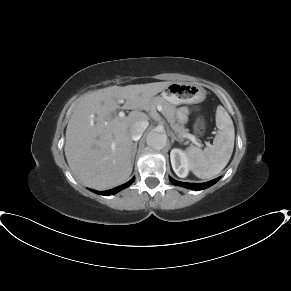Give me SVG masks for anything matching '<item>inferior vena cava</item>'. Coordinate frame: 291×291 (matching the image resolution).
I'll use <instances>...</instances> for the list:
<instances>
[{
  "mask_svg": "<svg viewBox=\"0 0 291 291\" xmlns=\"http://www.w3.org/2000/svg\"><path fill=\"white\" fill-rule=\"evenodd\" d=\"M148 124V121H138L132 124L129 128L132 140L138 141L147 128Z\"/></svg>",
  "mask_w": 291,
  "mask_h": 291,
  "instance_id": "obj_1",
  "label": "inferior vena cava"
}]
</instances>
